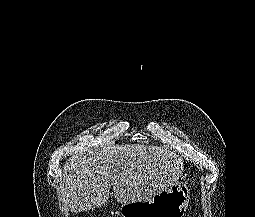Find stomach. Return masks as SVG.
<instances>
[{
    "label": "stomach",
    "instance_id": "0dacf381",
    "mask_svg": "<svg viewBox=\"0 0 255 217\" xmlns=\"http://www.w3.org/2000/svg\"><path fill=\"white\" fill-rule=\"evenodd\" d=\"M189 188L185 182H175L149 200L124 203L121 217H183L189 204Z\"/></svg>",
    "mask_w": 255,
    "mask_h": 217
}]
</instances>
